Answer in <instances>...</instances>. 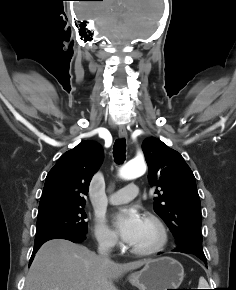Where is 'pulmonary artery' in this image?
<instances>
[{
  "mask_svg": "<svg viewBox=\"0 0 236 290\" xmlns=\"http://www.w3.org/2000/svg\"><path fill=\"white\" fill-rule=\"evenodd\" d=\"M138 193L139 190L137 185L130 183L124 186L123 189L110 195L108 202L114 205L123 204L137 197Z\"/></svg>",
  "mask_w": 236,
  "mask_h": 290,
  "instance_id": "e3ab8cb5",
  "label": "pulmonary artery"
}]
</instances>
